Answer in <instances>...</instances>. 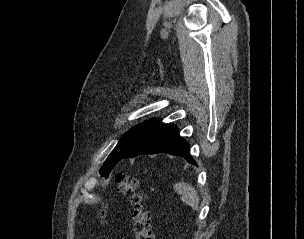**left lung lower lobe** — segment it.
<instances>
[{"instance_id": "1", "label": "left lung lower lobe", "mask_w": 304, "mask_h": 239, "mask_svg": "<svg viewBox=\"0 0 304 239\" xmlns=\"http://www.w3.org/2000/svg\"><path fill=\"white\" fill-rule=\"evenodd\" d=\"M168 153L181 156L190 164L197 165L190 154L189 144L179 136L175 125L165 124L144 138L121 159L133 158L142 154Z\"/></svg>"}]
</instances>
